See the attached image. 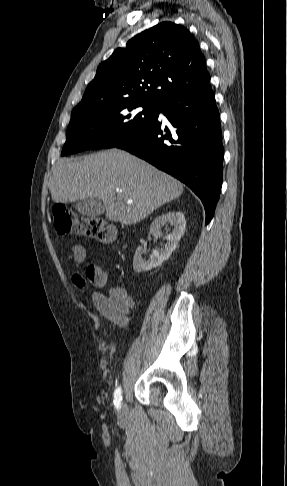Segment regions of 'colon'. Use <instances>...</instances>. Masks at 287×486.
Listing matches in <instances>:
<instances>
[{
	"mask_svg": "<svg viewBox=\"0 0 287 486\" xmlns=\"http://www.w3.org/2000/svg\"><path fill=\"white\" fill-rule=\"evenodd\" d=\"M54 227L58 234H74L92 238L101 243H111L116 238L114 228L104 219L78 216L63 205L53 208ZM81 287H101L106 282L105 274L95 265L88 264L82 274L74 277Z\"/></svg>",
	"mask_w": 287,
	"mask_h": 486,
	"instance_id": "1",
	"label": "colon"
}]
</instances>
